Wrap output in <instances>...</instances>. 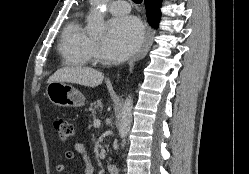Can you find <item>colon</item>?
Wrapping results in <instances>:
<instances>
[{
	"label": "colon",
	"instance_id": "1",
	"mask_svg": "<svg viewBox=\"0 0 249 174\" xmlns=\"http://www.w3.org/2000/svg\"><path fill=\"white\" fill-rule=\"evenodd\" d=\"M54 128L61 141L67 142L74 135V127L72 123L64 117L57 116L53 120Z\"/></svg>",
	"mask_w": 249,
	"mask_h": 174
}]
</instances>
